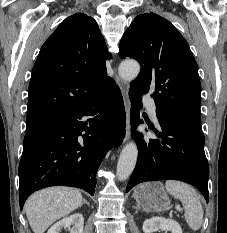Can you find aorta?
<instances>
[{
    "label": "aorta",
    "mask_w": 227,
    "mask_h": 233,
    "mask_svg": "<svg viewBox=\"0 0 227 233\" xmlns=\"http://www.w3.org/2000/svg\"><path fill=\"white\" fill-rule=\"evenodd\" d=\"M140 72V65L133 60L123 61L118 69L119 76L127 81L135 79ZM138 157V149L134 142H129L122 149L117 163L116 174L119 180H126L133 172Z\"/></svg>",
    "instance_id": "762f6f07"
}]
</instances>
